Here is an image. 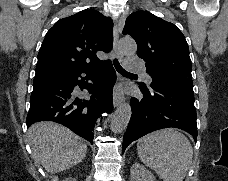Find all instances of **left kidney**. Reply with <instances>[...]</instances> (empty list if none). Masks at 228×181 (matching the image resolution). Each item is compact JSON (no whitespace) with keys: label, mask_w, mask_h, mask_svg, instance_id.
Segmentation results:
<instances>
[{"label":"left kidney","mask_w":228,"mask_h":181,"mask_svg":"<svg viewBox=\"0 0 228 181\" xmlns=\"http://www.w3.org/2000/svg\"><path fill=\"white\" fill-rule=\"evenodd\" d=\"M131 181H156L154 175L147 171L144 165L140 163H134L130 169Z\"/></svg>","instance_id":"5707ae66"}]
</instances>
